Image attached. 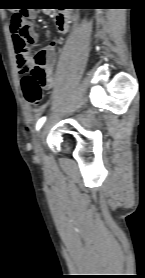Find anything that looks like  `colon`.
<instances>
[{
	"instance_id": "5ec220e1",
	"label": "colon",
	"mask_w": 145,
	"mask_h": 278,
	"mask_svg": "<svg viewBox=\"0 0 145 278\" xmlns=\"http://www.w3.org/2000/svg\"><path fill=\"white\" fill-rule=\"evenodd\" d=\"M29 16L27 10L15 14L11 23V32L14 38L16 51L19 54H25L35 61L34 68L26 73L21 81L23 95L30 105H39L42 102V89L46 81L45 65L46 61L41 54L33 57L27 47L28 29L25 19Z\"/></svg>"
}]
</instances>
